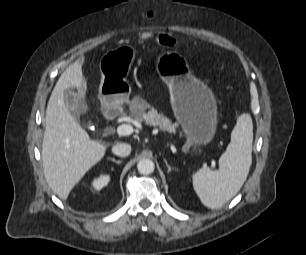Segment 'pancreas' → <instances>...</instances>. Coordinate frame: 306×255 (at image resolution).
<instances>
[{
  "label": "pancreas",
  "mask_w": 306,
  "mask_h": 255,
  "mask_svg": "<svg viewBox=\"0 0 306 255\" xmlns=\"http://www.w3.org/2000/svg\"><path fill=\"white\" fill-rule=\"evenodd\" d=\"M149 109L146 113L145 110ZM131 114L138 121H145L146 124L150 126L159 127L163 131L169 133L176 132V125L172 121L164 116L159 114L157 110L150 106L146 101L140 99H134L131 103Z\"/></svg>",
  "instance_id": "1"
}]
</instances>
